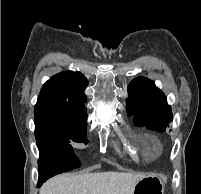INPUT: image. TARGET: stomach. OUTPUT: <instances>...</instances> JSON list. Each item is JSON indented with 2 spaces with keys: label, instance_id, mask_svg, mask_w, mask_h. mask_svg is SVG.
<instances>
[{
  "label": "stomach",
  "instance_id": "stomach-1",
  "mask_svg": "<svg viewBox=\"0 0 201 194\" xmlns=\"http://www.w3.org/2000/svg\"><path fill=\"white\" fill-rule=\"evenodd\" d=\"M164 184L155 174L144 175L134 186L132 194H163Z\"/></svg>",
  "mask_w": 201,
  "mask_h": 194
}]
</instances>
